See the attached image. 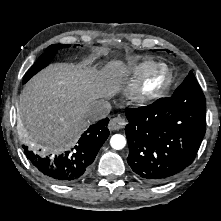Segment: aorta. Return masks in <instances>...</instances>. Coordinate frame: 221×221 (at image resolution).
<instances>
[{
  "mask_svg": "<svg viewBox=\"0 0 221 221\" xmlns=\"http://www.w3.org/2000/svg\"><path fill=\"white\" fill-rule=\"evenodd\" d=\"M110 145L113 149L120 150L126 145V139L121 134H115L110 139Z\"/></svg>",
  "mask_w": 221,
  "mask_h": 221,
  "instance_id": "aorta-1",
  "label": "aorta"
}]
</instances>
